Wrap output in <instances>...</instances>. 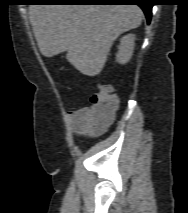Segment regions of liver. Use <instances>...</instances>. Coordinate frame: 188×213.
Returning a JSON list of instances; mask_svg holds the SVG:
<instances>
[{
  "mask_svg": "<svg viewBox=\"0 0 188 213\" xmlns=\"http://www.w3.org/2000/svg\"><path fill=\"white\" fill-rule=\"evenodd\" d=\"M29 15L41 54L67 52L68 62L87 76L101 73L113 42L143 17L137 5L125 4H33Z\"/></svg>",
  "mask_w": 188,
  "mask_h": 213,
  "instance_id": "liver-1",
  "label": "liver"
}]
</instances>
